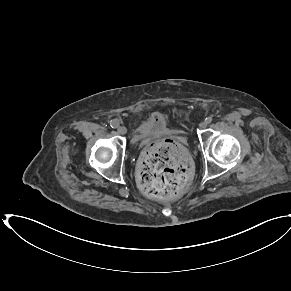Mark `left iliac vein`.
Returning a JSON list of instances; mask_svg holds the SVG:
<instances>
[{
  "label": "left iliac vein",
  "instance_id": "obj_1",
  "mask_svg": "<svg viewBox=\"0 0 291 291\" xmlns=\"http://www.w3.org/2000/svg\"><path fill=\"white\" fill-rule=\"evenodd\" d=\"M207 122L206 121H202L200 124H199V127L200 129H205L207 127Z\"/></svg>",
  "mask_w": 291,
  "mask_h": 291
}]
</instances>
